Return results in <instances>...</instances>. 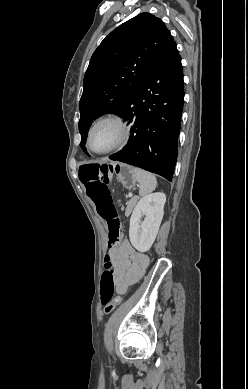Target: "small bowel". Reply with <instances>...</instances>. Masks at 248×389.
Instances as JSON below:
<instances>
[{"label": "small bowel", "instance_id": "1", "mask_svg": "<svg viewBox=\"0 0 248 389\" xmlns=\"http://www.w3.org/2000/svg\"><path fill=\"white\" fill-rule=\"evenodd\" d=\"M109 258L116 269L115 291L118 295L125 294L129 286L138 282L149 265L148 256L134 249L127 240L111 248Z\"/></svg>", "mask_w": 248, "mask_h": 389}]
</instances>
